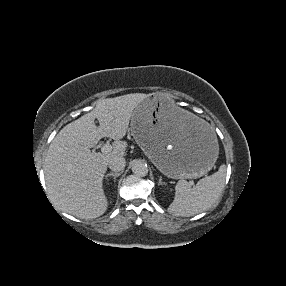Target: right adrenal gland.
Returning <instances> with one entry per match:
<instances>
[{
  "label": "right adrenal gland",
  "instance_id": "obj_1",
  "mask_svg": "<svg viewBox=\"0 0 286 286\" xmlns=\"http://www.w3.org/2000/svg\"><path fill=\"white\" fill-rule=\"evenodd\" d=\"M120 175H121V172H111L105 176V179L107 180L108 177H114V181H116V178L119 177Z\"/></svg>",
  "mask_w": 286,
  "mask_h": 286
}]
</instances>
